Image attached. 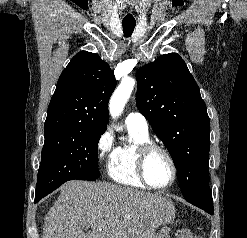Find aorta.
Here are the masks:
<instances>
[{
    "instance_id": "obj_1",
    "label": "aorta",
    "mask_w": 247,
    "mask_h": 238,
    "mask_svg": "<svg viewBox=\"0 0 247 238\" xmlns=\"http://www.w3.org/2000/svg\"><path fill=\"white\" fill-rule=\"evenodd\" d=\"M134 86V79L124 78L117 89L114 91L109 102V112L112 118L115 119L121 115L125 104L127 103L133 91Z\"/></svg>"
}]
</instances>
